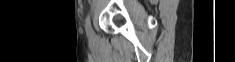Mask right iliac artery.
<instances>
[{"mask_svg":"<svg viewBox=\"0 0 235 62\" xmlns=\"http://www.w3.org/2000/svg\"><path fill=\"white\" fill-rule=\"evenodd\" d=\"M85 27H86L87 35H88V36H91V34L93 33V31H92V28H91L89 16H88L87 19H86V25H85Z\"/></svg>","mask_w":235,"mask_h":62,"instance_id":"1","label":"right iliac artery"}]
</instances>
